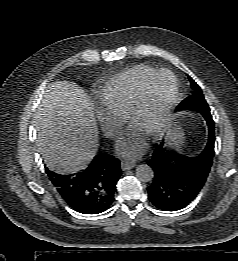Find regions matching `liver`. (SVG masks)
I'll return each mask as SVG.
<instances>
[{
	"label": "liver",
	"instance_id": "obj_1",
	"mask_svg": "<svg viewBox=\"0 0 238 261\" xmlns=\"http://www.w3.org/2000/svg\"><path fill=\"white\" fill-rule=\"evenodd\" d=\"M35 126L39 151L56 172L76 171L97 151L99 132L92 102L74 83L57 81L47 87Z\"/></svg>",
	"mask_w": 238,
	"mask_h": 261
}]
</instances>
